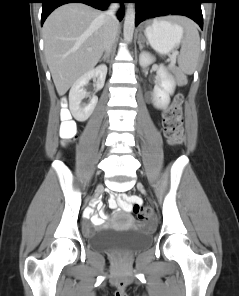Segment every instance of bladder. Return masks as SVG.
Returning a JSON list of instances; mask_svg holds the SVG:
<instances>
[{
  "instance_id": "1",
  "label": "bladder",
  "mask_w": 239,
  "mask_h": 296,
  "mask_svg": "<svg viewBox=\"0 0 239 296\" xmlns=\"http://www.w3.org/2000/svg\"><path fill=\"white\" fill-rule=\"evenodd\" d=\"M92 248L100 251L135 252L150 246L152 235L136 226L127 229L100 228L87 236Z\"/></svg>"
}]
</instances>
